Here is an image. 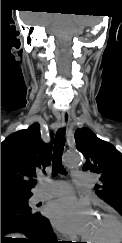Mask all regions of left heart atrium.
Wrapping results in <instances>:
<instances>
[{
  "mask_svg": "<svg viewBox=\"0 0 122 243\" xmlns=\"http://www.w3.org/2000/svg\"><path fill=\"white\" fill-rule=\"evenodd\" d=\"M47 215L60 231L71 236H86L94 217L90 205L73 196L54 200L47 208Z\"/></svg>",
  "mask_w": 122,
  "mask_h": 243,
  "instance_id": "39dd6f15",
  "label": "left heart atrium"
}]
</instances>
